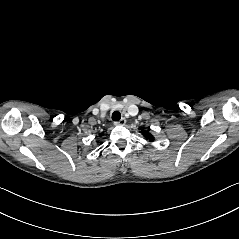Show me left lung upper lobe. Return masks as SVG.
Instances as JSON below:
<instances>
[{"label":"left lung upper lobe","instance_id":"left-lung-upper-lobe-1","mask_svg":"<svg viewBox=\"0 0 239 239\" xmlns=\"http://www.w3.org/2000/svg\"><path fill=\"white\" fill-rule=\"evenodd\" d=\"M141 133L146 138V140H149V142L154 141V137L148 131H141Z\"/></svg>","mask_w":239,"mask_h":239}]
</instances>
